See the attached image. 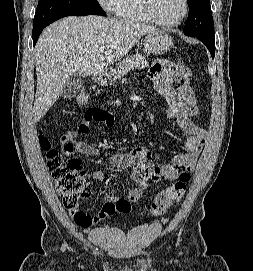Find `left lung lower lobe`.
<instances>
[{
  "label": "left lung lower lobe",
  "mask_w": 253,
  "mask_h": 271,
  "mask_svg": "<svg viewBox=\"0 0 253 271\" xmlns=\"http://www.w3.org/2000/svg\"><path fill=\"white\" fill-rule=\"evenodd\" d=\"M193 37H196L200 41H202L206 45L208 50L210 51L212 58H214V56H215V38H208V37L199 36V35L193 36Z\"/></svg>",
  "instance_id": "1"
}]
</instances>
